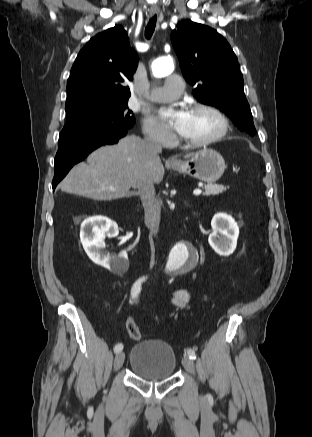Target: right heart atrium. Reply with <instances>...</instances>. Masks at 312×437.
Wrapping results in <instances>:
<instances>
[{
    "mask_svg": "<svg viewBox=\"0 0 312 437\" xmlns=\"http://www.w3.org/2000/svg\"><path fill=\"white\" fill-rule=\"evenodd\" d=\"M142 128L144 135L159 145L168 146L173 142L171 132L151 117L144 119Z\"/></svg>",
    "mask_w": 312,
    "mask_h": 437,
    "instance_id": "d8ad5b80",
    "label": "right heart atrium"
}]
</instances>
